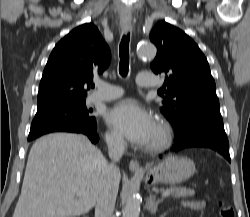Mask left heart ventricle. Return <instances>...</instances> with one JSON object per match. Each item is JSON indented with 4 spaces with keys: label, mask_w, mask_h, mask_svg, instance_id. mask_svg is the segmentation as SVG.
I'll use <instances>...</instances> for the list:
<instances>
[{
    "label": "left heart ventricle",
    "mask_w": 250,
    "mask_h": 217,
    "mask_svg": "<svg viewBox=\"0 0 250 217\" xmlns=\"http://www.w3.org/2000/svg\"><path fill=\"white\" fill-rule=\"evenodd\" d=\"M157 138H158V129H157V126H155L153 134H152L149 142L147 143V145H150V144L154 143L157 140Z\"/></svg>",
    "instance_id": "b2bd125f"
}]
</instances>
